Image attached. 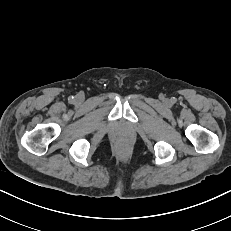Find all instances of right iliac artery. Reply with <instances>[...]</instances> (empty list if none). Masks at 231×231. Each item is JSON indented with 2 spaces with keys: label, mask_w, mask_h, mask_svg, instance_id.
<instances>
[{
  "label": "right iliac artery",
  "mask_w": 231,
  "mask_h": 231,
  "mask_svg": "<svg viewBox=\"0 0 231 231\" xmlns=\"http://www.w3.org/2000/svg\"><path fill=\"white\" fill-rule=\"evenodd\" d=\"M73 98H74L73 96H72V97H70V100H73Z\"/></svg>",
  "instance_id": "right-iliac-artery-1"
}]
</instances>
